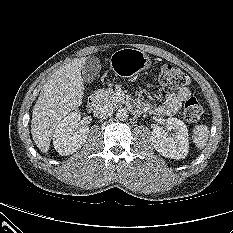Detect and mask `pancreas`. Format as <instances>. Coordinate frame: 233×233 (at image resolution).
Returning <instances> with one entry per match:
<instances>
[{
	"mask_svg": "<svg viewBox=\"0 0 233 233\" xmlns=\"http://www.w3.org/2000/svg\"><path fill=\"white\" fill-rule=\"evenodd\" d=\"M95 95L98 96L101 103H105L113 107L123 103V101L118 99L116 92L112 89H99L95 92Z\"/></svg>",
	"mask_w": 233,
	"mask_h": 233,
	"instance_id": "obj_1",
	"label": "pancreas"
}]
</instances>
